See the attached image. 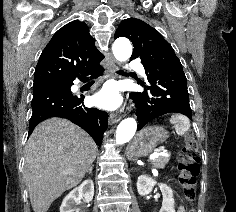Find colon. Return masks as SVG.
I'll return each mask as SVG.
<instances>
[{
  "label": "colon",
  "instance_id": "5ec220e1",
  "mask_svg": "<svg viewBox=\"0 0 236 212\" xmlns=\"http://www.w3.org/2000/svg\"><path fill=\"white\" fill-rule=\"evenodd\" d=\"M201 154L197 140L188 136L178 158L179 184L189 203L196 198L197 177L200 172ZM190 212H194L192 209Z\"/></svg>",
  "mask_w": 236,
  "mask_h": 212
}]
</instances>
